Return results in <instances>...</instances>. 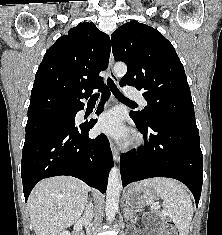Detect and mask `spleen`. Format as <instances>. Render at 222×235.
I'll use <instances>...</instances> for the list:
<instances>
[{"mask_svg": "<svg viewBox=\"0 0 222 235\" xmlns=\"http://www.w3.org/2000/svg\"><path fill=\"white\" fill-rule=\"evenodd\" d=\"M138 187L151 189L163 199L166 215L176 223L180 235H188L193 205L189 194L178 182L170 178H151L140 182Z\"/></svg>", "mask_w": 222, "mask_h": 235, "instance_id": "obj_1", "label": "spleen"}]
</instances>
